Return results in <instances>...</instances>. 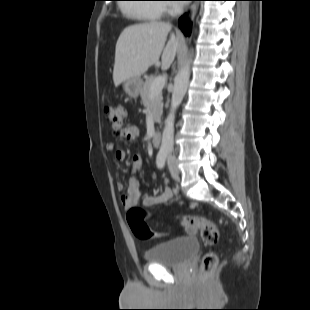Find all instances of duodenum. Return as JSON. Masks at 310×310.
Instances as JSON below:
<instances>
[{
  "mask_svg": "<svg viewBox=\"0 0 310 310\" xmlns=\"http://www.w3.org/2000/svg\"><path fill=\"white\" fill-rule=\"evenodd\" d=\"M162 133L161 131H154L151 134V143L154 147H159L161 144Z\"/></svg>",
  "mask_w": 310,
  "mask_h": 310,
  "instance_id": "obj_1",
  "label": "duodenum"
}]
</instances>
